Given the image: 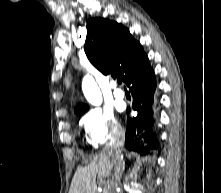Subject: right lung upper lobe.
<instances>
[{
  "instance_id": "right-lung-upper-lobe-1",
  "label": "right lung upper lobe",
  "mask_w": 221,
  "mask_h": 193,
  "mask_svg": "<svg viewBox=\"0 0 221 193\" xmlns=\"http://www.w3.org/2000/svg\"><path fill=\"white\" fill-rule=\"evenodd\" d=\"M87 31L84 45L86 56L105 75L111 74L114 78L120 76L126 83L131 74L148 59L129 30L114 21L89 19ZM76 112L82 113L83 105H78Z\"/></svg>"
}]
</instances>
